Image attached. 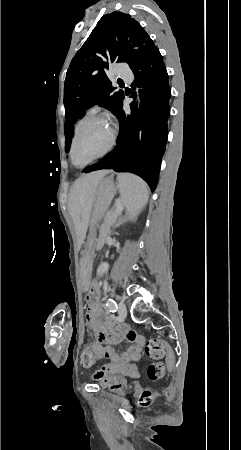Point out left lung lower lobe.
<instances>
[{
    "label": "left lung lower lobe",
    "mask_w": 241,
    "mask_h": 450,
    "mask_svg": "<svg viewBox=\"0 0 241 450\" xmlns=\"http://www.w3.org/2000/svg\"><path fill=\"white\" fill-rule=\"evenodd\" d=\"M130 68L135 75L134 82L143 88L140 108L136 113L132 103L130 117L121 103L116 112L120 131L115 148L103 160L86 167L83 172L99 169L131 172L142 177L154 191L168 135L171 96L168 74L155 45Z\"/></svg>",
    "instance_id": "obj_1"
}]
</instances>
